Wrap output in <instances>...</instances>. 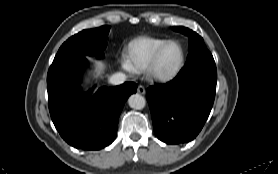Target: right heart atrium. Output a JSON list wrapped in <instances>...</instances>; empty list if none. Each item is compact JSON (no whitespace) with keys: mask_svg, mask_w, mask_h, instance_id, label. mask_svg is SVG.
<instances>
[{"mask_svg":"<svg viewBox=\"0 0 278 174\" xmlns=\"http://www.w3.org/2000/svg\"><path fill=\"white\" fill-rule=\"evenodd\" d=\"M121 63H122V66H123L126 70H129V71L132 70V67H131L130 62H129L128 59L123 58L122 61H121Z\"/></svg>","mask_w":278,"mask_h":174,"instance_id":"right-heart-atrium-1","label":"right heart atrium"}]
</instances>
